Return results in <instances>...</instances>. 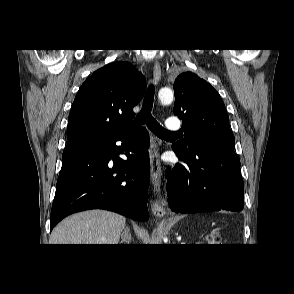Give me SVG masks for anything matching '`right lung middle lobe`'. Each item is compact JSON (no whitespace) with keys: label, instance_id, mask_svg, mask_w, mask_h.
I'll list each match as a JSON object with an SVG mask.
<instances>
[{"label":"right lung middle lobe","instance_id":"right-lung-middle-lobe-1","mask_svg":"<svg viewBox=\"0 0 294 294\" xmlns=\"http://www.w3.org/2000/svg\"><path fill=\"white\" fill-rule=\"evenodd\" d=\"M80 143V142H79ZM74 144H77V143H74ZM74 144H70V145H74ZM70 145H68V146H70Z\"/></svg>","mask_w":294,"mask_h":294}]
</instances>
